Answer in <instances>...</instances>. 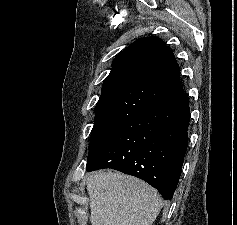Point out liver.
<instances>
[{
  "instance_id": "liver-1",
  "label": "liver",
  "mask_w": 237,
  "mask_h": 225,
  "mask_svg": "<svg viewBox=\"0 0 237 225\" xmlns=\"http://www.w3.org/2000/svg\"><path fill=\"white\" fill-rule=\"evenodd\" d=\"M87 191L91 225H152L163 206L156 189L119 172L92 174Z\"/></svg>"
}]
</instances>
